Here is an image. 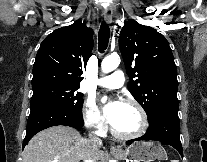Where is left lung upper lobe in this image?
<instances>
[{"mask_svg":"<svg viewBox=\"0 0 207 162\" xmlns=\"http://www.w3.org/2000/svg\"><path fill=\"white\" fill-rule=\"evenodd\" d=\"M119 48L131 80L128 89L148 119L162 108H178L177 70L165 37L152 27L128 20L120 32Z\"/></svg>","mask_w":207,"mask_h":162,"instance_id":"5c2ea615","label":"left lung upper lobe"}]
</instances>
